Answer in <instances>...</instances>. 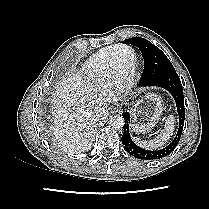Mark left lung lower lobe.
Here are the masks:
<instances>
[{
    "label": "left lung lower lobe",
    "instance_id": "obj_1",
    "mask_svg": "<svg viewBox=\"0 0 209 209\" xmlns=\"http://www.w3.org/2000/svg\"><path fill=\"white\" fill-rule=\"evenodd\" d=\"M139 86H156L167 90L174 98L177 106V112L179 115V128L174 140L165 148L160 150H145L137 146L131 139L129 133V123H130V114L129 112L125 111L122 113V116L125 120L124 132L122 135V143L124 145L125 150L132 156L144 159V160H154L160 159L169 155L177 146L183 126H184V119H185V109H184V97H183V89L181 85L180 78L176 71L166 72L158 77L150 80L146 84H140ZM126 108V107H125Z\"/></svg>",
    "mask_w": 209,
    "mask_h": 209
}]
</instances>
